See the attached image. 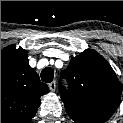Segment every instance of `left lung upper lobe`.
Instances as JSON below:
<instances>
[{"instance_id": "5c2ea615", "label": "left lung upper lobe", "mask_w": 123, "mask_h": 123, "mask_svg": "<svg viewBox=\"0 0 123 123\" xmlns=\"http://www.w3.org/2000/svg\"><path fill=\"white\" fill-rule=\"evenodd\" d=\"M69 82L61 87V98L67 114L73 119L84 116L107 121L120 104L122 84L110 64L96 51L87 49L73 57L62 71Z\"/></svg>"}]
</instances>
